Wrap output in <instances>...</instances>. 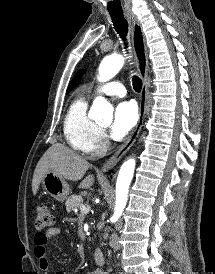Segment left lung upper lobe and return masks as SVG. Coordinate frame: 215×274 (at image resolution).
Returning a JSON list of instances; mask_svg holds the SVG:
<instances>
[{"instance_id": "left-lung-upper-lobe-1", "label": "left lung upper lobe", "mask_w": 215, "mask_h": 274, "mask_svg": "<svg viewBox=\"0 0 215 274\" xmlns=\"http://www.w3.org/2000/svg\"><path fill=\"white\" fill-rule=\"evenodd\" d=\"M84 74V70H79L75 78L71 81V83L68 86L67 93H69L80 81L81 77Z\"/></svg>"}]
</instances>
